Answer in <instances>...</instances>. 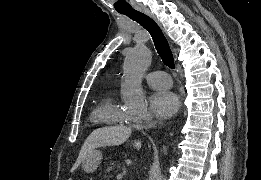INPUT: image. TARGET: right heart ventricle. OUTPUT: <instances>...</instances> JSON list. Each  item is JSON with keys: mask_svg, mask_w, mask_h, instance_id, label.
Wrapping results in <instances>:
<instances>
[{"mask_svg": "<svg viewBox=\"0 0 261 180\" xmlns=\"http://www.w3.org/2000/svg\"><path fill=\"white\" fill-rule=\"evenodd\" d=\"M91 121H105V126L94 127H123L118 100L114 94L99 100L92 112Z\"/></svg>", "mask_w": 261, "mask_h": 180, "instance_id": "e07e8e85", "label": "right heart ventricle"}]
</instances>
